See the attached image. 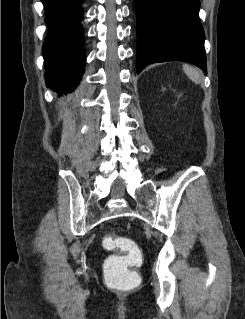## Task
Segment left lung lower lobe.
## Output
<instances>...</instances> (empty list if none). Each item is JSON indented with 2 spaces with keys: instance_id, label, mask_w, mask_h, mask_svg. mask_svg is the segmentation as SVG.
Listing matches in <instances>:
<instances>
[{
  "instance_id": "left-lung-lower-lobe-1",
  "label": "left lung lower lobe",
  "mask_w": 245,
  "mask_h": 319,
  "mask_svg": "<svg viewBox=\"0 0 245 319\" xmlns=\"http://www.w3.org/2000/svg\"><path fill=\"white\" fill-rule=\"evenodd\" d=\"M137 72L151 63L182 60L207 73L199 0H134Z\"/></svg>"
}]
</instances>
